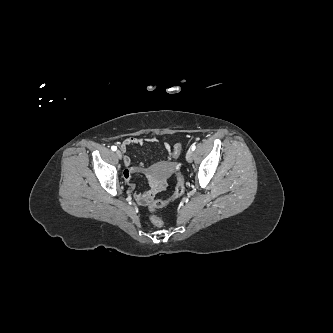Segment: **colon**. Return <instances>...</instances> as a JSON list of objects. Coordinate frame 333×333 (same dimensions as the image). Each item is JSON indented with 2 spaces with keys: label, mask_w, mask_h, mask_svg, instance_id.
Listing matches in <instances>:
<instances>
[{
  "label": "colon",
  "mask_w": 333,
  "mask_h": 333,
  "mask_svg": "<svg viewBox=\"0 0 333 333\" xmlns=\"http://www.w3.org/2000/svg\"><path fill=\"white\" fill-rule=\"evenodd\" d=\"M182 151V144L177 143L174 145L173 151H172V157L177 159ZM185 190V183H184V178L183 175L178 171L176 173V186L174 189V192L172 196L169 199H156L150 204L149 211L151 213L150 220L152 224L156 227H161L163 225V220L161 217L157 214V210L160 208H163L173 201L177 200L180 198Z\"/></svg>",
  "instance_id": "obj_1"
}]
</instances>
